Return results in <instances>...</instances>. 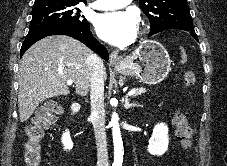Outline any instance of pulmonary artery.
I'll list each match as a JSON object with an SVG mask.
<instances>
[{"mask_svg":"<svg viewBox=\"0 0 227 166\" xmlns=\"http://www.w3.org/2000/svg\"><path fill=\"white\" fill-rule=\"evenodd\" d=\"M132 0H95L91 7L96 10H115L129 5Z\"/></svg>","mask_w":227,"mask_h":166,"instance_id":"e3ab8cb5","label":"pulmonary artery"}]
</instances>
